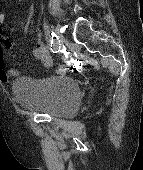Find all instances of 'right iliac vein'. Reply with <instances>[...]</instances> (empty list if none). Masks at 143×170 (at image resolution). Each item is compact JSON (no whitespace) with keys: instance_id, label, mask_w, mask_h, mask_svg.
Instances as JSON below:
<instances>
[{"instance_id":"63e3f726","label":"right iliac vein","mask_w":143,"mask_h":170,"mask_svg":"<svg viewBox=\"0 0 143 170\" xmlns=\"http://www.w3.org/2000/svg\"><path fill=\"white\" fill-rule=\"evenodd\" d=\"M60 38H61L62 42L67 43V41H66L65 37H64L62 34L60 35Z\"/></svg>"}]
</instances>
